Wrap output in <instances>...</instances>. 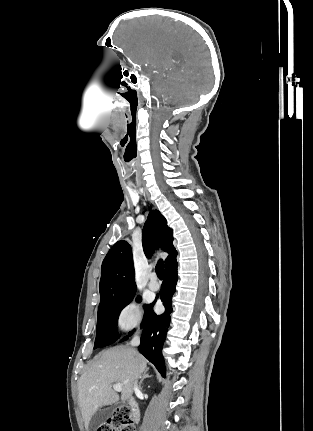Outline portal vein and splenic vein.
Wrapping results in <instances>:
<instances>
[{
  "label": "portal vein and splenic vein",
  "mask_w": 313,
  "mask_h": 431,
  "mask_svg": "<svg viewBox=\"0 0 313 431\" xmlns=\"http://www.w3.org/2000/svg\"><path fill=\"white\" fill-rule=\"evenodd\" d=\"M113 390L116 392H122V385L119 383H116L113 385Z\"/></svg>",
  "instance_id": "18ae733b"
}]
</instances>
